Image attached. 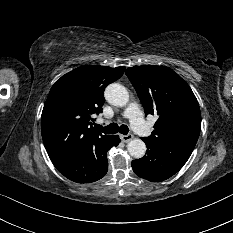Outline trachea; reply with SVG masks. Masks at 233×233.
Listing matches in <instances>:
<instances>
[{
	"label": "trachea",
	"mask_w": 233,
	"mask_h": 233,
	"mask_svg": "<svg viewBox=\"0 0 233 233\" xmlns=\"http://www.w3.org/2000/svg\"><path fill=\"white\" fill-rule=\"evenodd\" d=\"M96 128L105 134H115V133L120 132L121 134L127 135L129 132V128L127 125L118 126V124L116 123H112L105 127L101 125H96Z\"/></svg>",
	"instance_id": "trachea-1"
}]
</instances>
